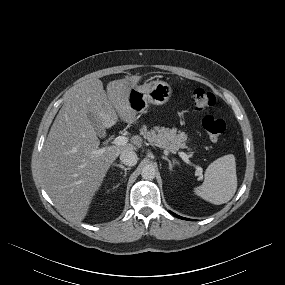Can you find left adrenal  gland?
Masks as SVG:
<instances>
[{"label": "left adrenal gland", "mask_w": 285, "mask_h": 285, "mask_svg": "<svg viewBox=\"0 0 285 285\" xmlns=\"http://www.w3.org/2000/svg\"><path fill=\"white\" fill-rule=\"evenodd\" d=\"M162 158L168 162V164H169V169L172 170V168H173V163H175V160L173 159V160L171 161V160H170L169 158H167L166 156H163Z\"/></svg>", "instance_id": "1"}]
</instances>
